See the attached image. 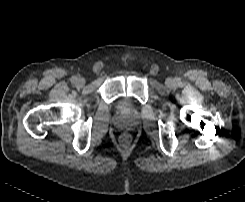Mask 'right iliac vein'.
<instances>
[{"instance_id": "obj_1", "label": "right iliac vein", "mask_w": 245, "mask_h": 202, "mask_svg": "<svg viewBox=\"0 0 245 202\" xmlns=\"http://www.w3.org/2000/svg\"><path fill=\"white\" fill-rule=\"evenodd\" d=\"M75 84L77 86H83L85 84V80L83 78H79V79H77V81L75 82Z\"/></svg>"}]
</instances>
